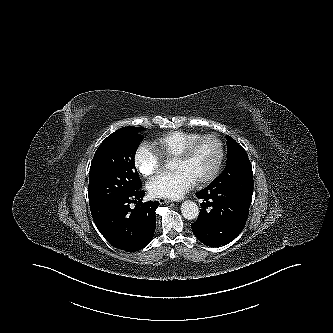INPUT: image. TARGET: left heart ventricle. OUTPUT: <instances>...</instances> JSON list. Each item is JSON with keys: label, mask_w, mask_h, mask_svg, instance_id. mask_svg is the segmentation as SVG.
I'll return each instance as SVG.
<instances>
[{"label": "left heart ventricle", "mask_w": 333, "mask_h": 333, "mask_svg": "<svg viewBox=\"0 0 333 333\" xmlns=\"http://www.w3.org/2000/svg\"><path fill=\"white\" fill-rule=\"evenodd\" d=\"M218 146L212 139L201 141L184 161H173V170L187 172L195 182L206 178L214 169L218 159Z\"/></svg>", "instance_id": "left-heart-ventricle-1"}]
</instances>
